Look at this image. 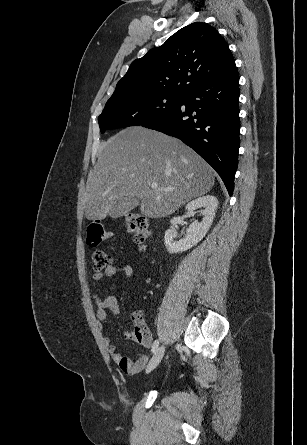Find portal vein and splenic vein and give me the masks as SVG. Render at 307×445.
Instances as JSON below:
<instances>
[{
    "label": "portal vein and splenic vein",
    "mask_w": 307,
    "mask_h": 445,
    "mask_svg": "<svg viewBox=\"0 0 307 445\" xmlns=\"http://www.w3.org/2000/svg\"><path fill=\"white\" fill-rule=\"evenodd\" d=\"M151 188H158L157 182H151ZM163 190H173V188H163Z\"/></svg>",
    "instance_id": "obj_1"
}]
</instances>
